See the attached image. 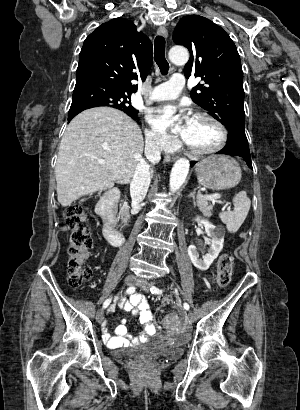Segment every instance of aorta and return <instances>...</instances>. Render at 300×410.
I'll list each match as a JSON object with an SVG mask.
<instances>
[{
  "instance_id": "1",
  "label": "aorta",
  "mask_w": 300,
  "mask_h": 410,
  "mask_svg": "<svg viewBox=\"0 0 300 410\" xmlns=\"http://www.w3.org/2000/svg\"><path fill=\"white\" fill-rule=\"evenodd\" d=\"M169 59L174 64H186L189 59L188 50L184 47H173L169 51ZM190 163L187 159H179L173 165L170 174L169 187L175 193L185 182L189 172Z\"/></svg>"
}]
</instances>
